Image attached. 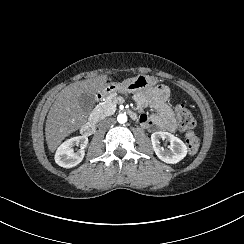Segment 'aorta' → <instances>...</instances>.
Masks as SVG:
<instances>
[{
  "instance_id": "aorta-1",
  "label": "aorta",
  "mask_w": 244,
  "mask_h": 244,
  "mask_svg": "<svg viewBox=\"0 0 244 244\" xmlns=\"http://www.w3.org/2000/svg\"><path fill=\"white\" fill-rule=\"evenodd\" d=\"M117 121L120 124H124V123L127 122V116L125 114H119L118 117H117Z\"/></svg>"
}]
</instances>
